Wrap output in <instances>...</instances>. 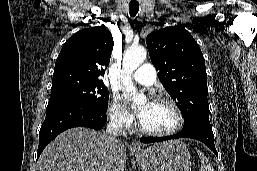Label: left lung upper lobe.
<instances>
[{
	"instance_id": "5c2ea615",
	"label": "left lung upper lobe",
	"mask_w": 257,
	"mask_h": 171,
	"mask_svg": "<svg viewBox=\"0 0 257 171\" xmlns=\"http://www.w3.org/2000/svg\"><path fill=\"white\" fill-rule=\"evenodd\" d=\"M158 77L184 116V127L210 125L205 60L192 35L178 26L150 33L146 38Z\"/></svg>"
}]
</instances>
